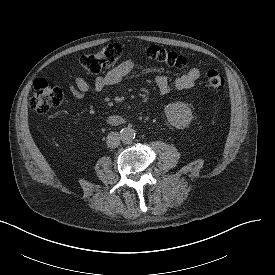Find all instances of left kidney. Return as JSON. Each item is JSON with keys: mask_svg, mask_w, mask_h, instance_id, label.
Masks as SVG:
<instances>
[{"mask_svg": "<svg viewBox=\"0 0 275 275\" xmlns=\"http://www.w3.org/2000/svg\"><path fill=\"white\" fill-rule=\"evenodd\" d=\"M165 114L169 123L178 129L187 127L193 118L191 109L183 102L168 104L165 107Z\"/></svg>", "mask_w": 275, "mask_h": 275, "instance_id": "obj_1", "label": "left kidney"}]
</instances>
